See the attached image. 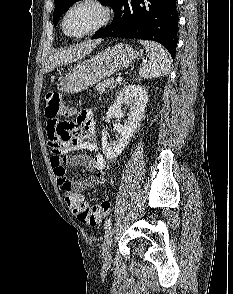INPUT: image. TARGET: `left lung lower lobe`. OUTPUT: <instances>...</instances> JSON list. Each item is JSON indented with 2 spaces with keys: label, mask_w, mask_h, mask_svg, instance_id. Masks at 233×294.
Returning a JSON list of instances; mask_svg holds the SVG:
<instances>
[{
  "label": "left lung lower lobe",
  "mask_w": 233,
  "mask_h": 294,
  "mask_svg": "<svg viewBox=\"0 0 233 294\" xmlns=\"http://www.w3.org/2000/svg\"><path fill=\"white\" fill-rule=\"evenodd\" d=\"M112 23L93 39L125 37L161 43L175 57L178 14L176 0H118Z\"/></svg>",
  "instance_id": "left-lung-lower-lobe-1"
}]
</instances>
